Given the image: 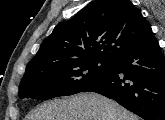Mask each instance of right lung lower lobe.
Instances as JSON below:
<instances>
[{"label": "right lung lower lobe", "mask_w": 165, "mask_h": 120, "mask_svg": "<svg viewBox=\"0 0 165 120\" xmlns=\"http://www.w3.org/2000/svg\"><path fill=\"white\" fill-rule=\"evenodd\" d=\"M82 92L100 93L144 120H165V57L155 36L117 57L110 73Z\"/></svg>", "instance_id": "right-lung-lower-lobe-1"}]
</instances>
